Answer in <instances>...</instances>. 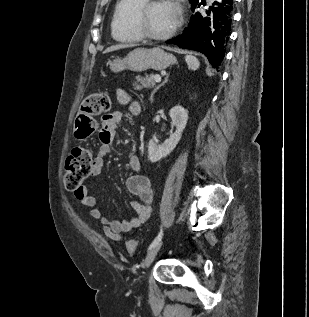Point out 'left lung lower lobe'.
<instances>
[{
    "label": "left lung lower lobe",
    "instance_id": "left-lung-lower-lobe-1",
    "mask_svg": "<svg viewBox=\"0 0 309 317\" xmlns=\"http://www.w3.org/2000/svg\"><path fill=\"white\" fill-rule=\"evenodd\" d=\"M196 5L192 6L193 12ZM234 5L235 0H215L206 12L193 13L182 35L167 43L201 52L213 68H219L228 45Z\"/></svg>",
    "mask_w": 309,
    "mask_h": 317
}]
</instances>
